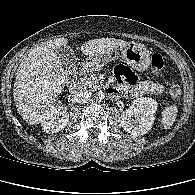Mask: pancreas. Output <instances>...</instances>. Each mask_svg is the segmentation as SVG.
I'll list each match as a JSON object with an SVG mask.
<instances>
[{
  "mask_svg": "<svg viewBox=\"0 0 195 195\" xmlns=\"http://www.w3.org/2000/svg\"><path fill=\"white\" fill-rule=\"evenodd\" d=\"M81 84L83 87L89 88L90 90H97L102 88V84L99 82L95 75L83 78Z\"/></svg>",
  "mask_w": 195,
  "mask_h": 195,
  "instance_id": "obj_1",
  "label": "pancreas"
}]
</instances>
